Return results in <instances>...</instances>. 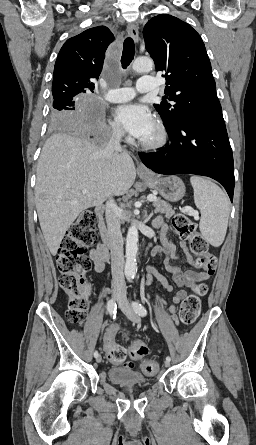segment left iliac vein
<instances>
[{"instance_id": "4c4485c4", "label": "left iliac vein", "mask_w": 256, "mask_h": 445, "mask_svg": "<svg viewBox=\"0 0 256 445\" xmlns=\"http://www.w3.org/2000/svg\"><path fill=\"white\" fill-rule=\"evenodd\" d=\"M118 304H119V308L121 309V311L127 316V318L129 320H131L134 323H139L140 322L139 315L134 311L133 307L128 302L127 297H126L125 294L121 295V298H120ZM164 366L165 367H169L170 366V361L165 360L164 361Z\"/></svg>"}]
</instances>
